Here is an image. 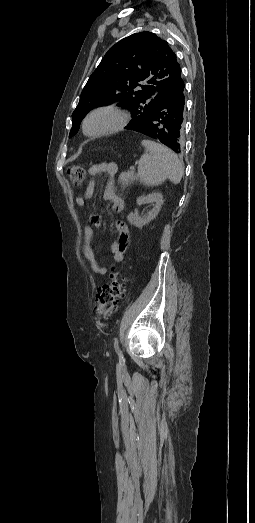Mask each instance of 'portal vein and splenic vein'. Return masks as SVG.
Returning <instances> with one entry per match:
<instances>
[{
	"mask_svg": "<svg viewBox=\"0 0 255 523\" xmlns=\"http://www.w3.org/2000/svg\"><path fill=\"white\" fill-rule=\"evenodd\" d=\"M129 172H131V173H136V168H130V169H129Z\"/></svg>",
	"mask_w": 255,
	"mask_h": 523,
	"instance_id": "1",
	"label": "portal vein and splenic vein"
}]
</instances>
